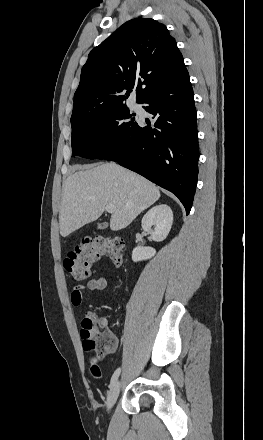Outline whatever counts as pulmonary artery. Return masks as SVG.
I'll use <instances>...</instances> for the list:
<instances>
[{
  "label": "pulmonary artery",
  "mask_w": 263,
  "mask_h": 440,
  "mask_svg": "<svg viewBox=\"0 0 263 440\" xmlns=\"http://www.w3.org/2000/svg\"><path fill=\"white\" fill-rule=\"evenodd\" d=\"M132 106H133V108H135V109H138V108H139V106H138L136 103H133Z\"/></svg>",
  "instance_id": "pulmonary-artery-1"
}]
</instances>
